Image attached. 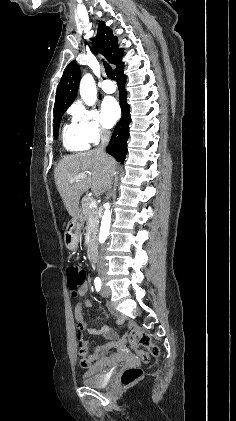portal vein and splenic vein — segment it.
Segmentation results:
<instances>
[{"label":"portal vein and splenic vein","mask_w":236,"mask_h":421,"mask_svg":"<svg viewBox=\"0 0 236 421\" xmlns=\"http://www.w3.org/2000/svg\"><path fill=\"white\" fill-rule=\"evenodd\" d=\"M79 178H87V174H77V176H72V178H69V182H75V180H79ZM90 208H93V206H97V202L95 198H90Z\"/></svg>","instance_id":"18ae733b"}]
</instances>
